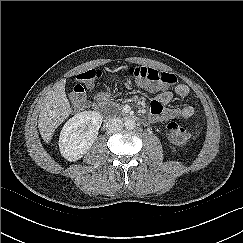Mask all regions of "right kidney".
I'll return each instance as SVG.
<instances>
[{"label":"right kidney","mask_w":243,"mask_h":243,"mask_svg":"<svg viewBox=\"0 0 243 243\" xmlns=\"http://www.w3.org/2000/svg\"><path fill=\"white\" fill-rule=\"evenodd\" d=\"M101 123V115L96 111H83L70 118L59 137L62 156L70 162L82 158L95 142Z\"/></svg>","instance_id":"1"}]
</instances>
